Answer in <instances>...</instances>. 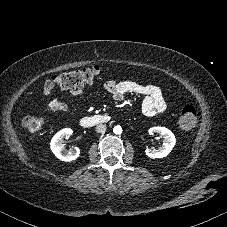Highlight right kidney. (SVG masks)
Wrapping results in <instances>:
<instances>
[{"instance_id":"ca27d5eb","label":"right kidney","mask_w":227,"mask_h":227,"mask_svg":"<svg viewBox=\"0 0 227 227\" xmlns=\"http://www.w3.org/2000/svg\"><path fill=\"white\" fill-rule=\"evenodd\" d=\"M73 134V130L70 128H65L57 132L51 139L50 148L55 156L65 162H70L75 160L80 155V149L74 147L69 151L66 150L63 140L64 138H69Z\"/></svg>"}]
</instances>
